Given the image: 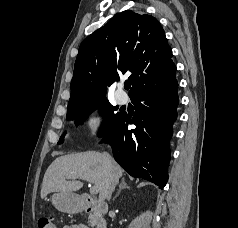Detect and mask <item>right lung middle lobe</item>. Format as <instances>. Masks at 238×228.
Returning a JSON list of instances; mask_svg holds the SVG:
<instances>
[{"label":"right lung middle lobe","instance_id":"right-lung-middle-lobe-1","mask_svg":"<svg viewBox=\"0 0 238 228\" xmlns=\"http://www.w3.org/2000/svg\"><path fill=\"white\" fill-rule=\"evenodd\" d=\"M99 108L104 116V122L102 128L100 129L99 136H104L107 132H109L116 121L121 117V113H115L116 107L112 106L107 100L100 101L93 104L80 106V105H69L67 109V118L75 119L76 124L82 123L88 113L92 110ZM65 134H63L58 143H62Z\"/></svg>","mask_w":238,"mask_h":228}]
</instances>
